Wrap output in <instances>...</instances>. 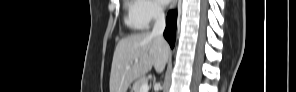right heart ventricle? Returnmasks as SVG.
Masks as SVG:
<instances>
[{
  "mask_svg": "<svg viewBox=\"0 0 296 92\" xmlns=\"http://www.w3.org/2000/svg\"><path fill=\"white\" fill-rule=\"evenodd\" d=\"M128 14L125 18V23L128 27L133 30H142L146 26L142 24V22L138 19L136 12V3L135 2H127L126 3Z\"/></svg>",
  "mask_w": 296,
  "mask_h": 92,
  "instance_id": "e07e8e85",
  "label": "right heart ventricle"
}]
</instances>
